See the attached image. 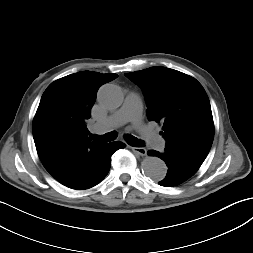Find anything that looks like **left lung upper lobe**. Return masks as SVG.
<instances>
[{"label":"left lung upper lobe","instance_id":"1","mask_svg":"<svg viewBox=\"0 0 253 253\" xmlns=\"http://www.w3.org/2000/svg\"><path fill=\"white\" fill-rule=\"evenodd\" d=\"M144 92L147 118L163 125L166 147L207 156L214 138L209 98L193 77L165 67L125 74Z\"/></svg>","mask_w":253,"mask_h":253}]
</instances>
